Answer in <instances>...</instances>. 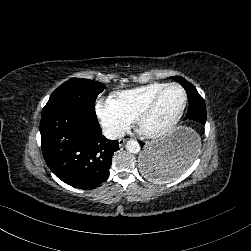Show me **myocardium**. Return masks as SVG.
<instances>
[{
	"label": "myocardium",
	"instance_id": "1",
	"mask_svg": "<svg viewBox=\"0 0 251 251\" xmlns=\"http://www.w3.org/2000/svg\"><path fill=\"white\" fill-rule=\"evenodd\" d=\"M169 88H178L182 90L185 94V102L184 106L182 108V111L179 115V117L174 121L172 124L167 125L161 129L156 130L155 132H152V135L155 137H164L167 136L168 134L172 133L175 131L183 122L186 112L189 107V92L188 90L182 86L181 84L178 83H168L166 84L163 88H161L148 102L147 104L140 109V111L137 114L138 121L142 123V119L145 115L149 114L150 112L153 111V109L156 107L157 103L159 102L160 98L164 94L166 90Z\"/></svg>",
	"mask_w": 251,
	"mask_h": 251
}]
</instances>
